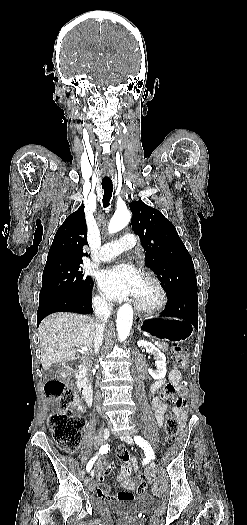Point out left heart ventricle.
<instances>
[{"label": "left heart ventricle", "instance_id": "b2bd125f", "mask_svg": "<svg viewBox=\"0 0 247 525\" xmlns=\"http://www.w3.org/2000/svg\"><path fill=\"white\" fill-rule=\"evenodd\" d=\"M118 268L120 270L134 269L136 261L131 253L121 254L118 260ZM141 289L136 298L142 302L150 303L159 299V292L153 282L148 278H141Z\"/></svg>", "mask_w": 247, "mask_h": 525}]
</instances>
